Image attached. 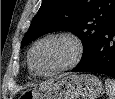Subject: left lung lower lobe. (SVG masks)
Instances as JSON below:
<instances>
[{
    "label": "left lung lower lobe",
    "instance_id": "obj_1",
    "mask_svg": "<svg viewBox=\"0 0 115 99\" xmlns=\"http://www.w3.org/2000/svg\"><path fill=\"white\" fill-rule=\"evenodd\" d=\"M72 72H96L115 78V19L96 47Z\"/></svg>",
    "mask_w": 115,
    "mask_h": 99
}]
</instances>
